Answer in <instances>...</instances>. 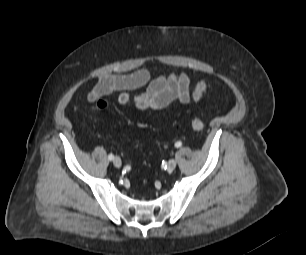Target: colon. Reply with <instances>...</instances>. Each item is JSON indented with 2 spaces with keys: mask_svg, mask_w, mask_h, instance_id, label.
Here are the masks:
<instances>
[{
  "mask_svg": "<svg viewBox=\"0 0 306 255\" xmlns=\"http://www.w3.org/2000/svg\"><path fill=\"white\" fill-rule=\"evenodd\" d=\"M108 106H109V101L105 99H97L94 103L93 108L96 112H100L108 108ZM191 126L195 132H201L204 129L205 125L204 121L199 116H194L191 119Z\"/></svg>",
  "mask_w": 306,
  "mask_h": 255,
  "instance_id": "obj_1",
  "label": "colon"
}]
</instances>
